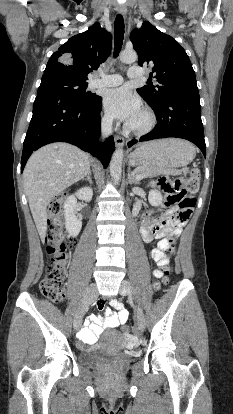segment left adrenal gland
I'll return each mask as SVG.
<instances>
[{
	"label": "left adrenal gland",
	"instance_id": "a2214340",
	"mask_svg": "<svg viewBox=\"0 0 233 414\" xmlns=\"http://www.w3.org/2000/svg\"><path fill=\"white\" fill-rule=\"evenodd\" d=\"M127 180L130 185L138 184V181L134 178L133 174L131 173L130 167L128 168Z\"/></svg>",
	"mask_w": 233,
	"mask_h": 414
}]
</instances>
